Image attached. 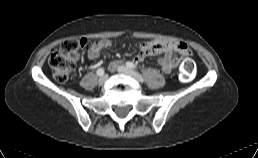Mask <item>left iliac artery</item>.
<instances>
[{
    "label": "left iliac artery",
    "instance_id": "1",
    "mask_svg": "<svg viewBox=\"0 0 258 158\" xmlns=\"http://www.w3.org/2000/svg\"><path fill=\"white\" fill-rule=\"evenodd\" d=\"M126 66H127L128 68H131V69H136V65H135L134 63H132V62H127V63H126Z\"/></svg>",
    "mask_w": 258,
    "mask_h": 158
}]
</instances>
